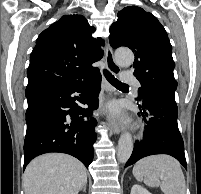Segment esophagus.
<instances>
[{
	"mask_svg": "<svg viewBox=\"0 0 201 194\" xmlns=\"http://www.w3.org/2000/svg\"><path fill=\"white\" fill-rule=\"evenodd\" d=\"M105 62H106L107 69L112 74H114V75L119 74L120 67L116 64V62L114 60L113 51L109 44H107L106 48H105ZM107 124L112 133H114V134L120 133V130H121L120 124L114 117L109 115L107 118Z\"/></svg>",
	"mask_w": 201,
	"mask_h": 194,
	"instance_id": "1",
	"label": "esophagus"
}]
</instances>
